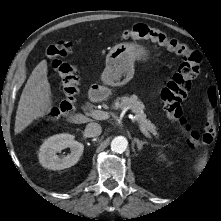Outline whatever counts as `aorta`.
Here are the masks:
<instances>
[{
  "instance_id": "762f6f07",
  "label": "aorta",
  "mask_w": 221,
  "mask_h": 221,
  "mask_svg": "<svg viewBox=\"0 0 221 221\" xmlns=\"http://www.w3.org/2000/svg\"><path fill=\"white\" fill-rule=\"evenodd\" d=\"M128 145V141L123 136L115 137L111 142V149L116 153H123Z\"/></svg>"
}]
</instances>
